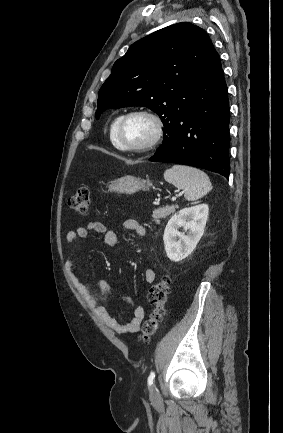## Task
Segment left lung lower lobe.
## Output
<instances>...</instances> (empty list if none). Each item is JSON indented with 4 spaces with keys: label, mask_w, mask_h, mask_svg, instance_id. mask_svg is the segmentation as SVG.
I'll list each match as a JSON object with an SVG mask.
<instances>
[{
    "label": "left lung lower lobe",
    "mask_w": 283,
    "mask_h": 433,
    "mask_svg": "<svg viewBox=\"0 0 283 433\" xmlns=\"http://www.w3.org/2000/svg\"><path fill=\"white\" fill-rule=\"evenodd\" d=\"M164 127L163 143L150 161L204 168L229 178V100L215 49L194 79L192 106Z\"/></svg>",
    "instance_id": "obj_1"
}]
</instances>
